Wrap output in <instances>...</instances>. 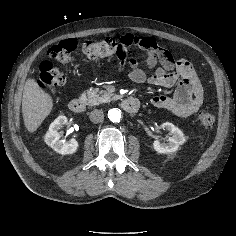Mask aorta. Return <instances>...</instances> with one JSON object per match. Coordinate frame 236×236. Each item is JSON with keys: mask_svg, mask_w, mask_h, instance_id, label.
<instances>
[{"mask_svg": "<svg viewBox=\"0 0 236 236\" xmlns=\"http://www.w3.org/2000/svg\"><path fill=\"white\" fill-rule=\"evenodd\" d=\"M108 118L110 119V121L117 123L120 122L121 120V111L119 109H111L108 112Z\"/></svg>", "mask_w": 236, "mask_h": 236, "instance_id": "762f6f07", "label": "aorta"}]
</instances>
